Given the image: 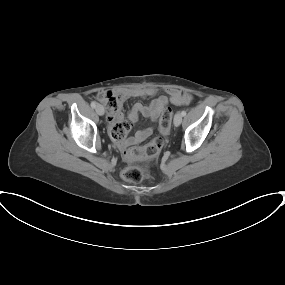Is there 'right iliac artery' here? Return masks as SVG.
Returning a JSON list of instances; mask_svg holds the SVG:
<instances>
[{
    "instance_id": "1",
    "label": "right iliac artery",
    "mask_w": 285,
    "mask_h": 285,
    "mask_svg": "<svg viewBox=\"0 0 285 285\" xmlns=\"http://www.w3.org/2000/svg\"><path fill=\"white\" fill-rule=\"evenodd\" d=\"M91 107H92V108H95V107H96V103H95V102H92V103H91Z\"/></svg>"
}]
</instances>
